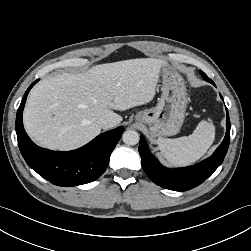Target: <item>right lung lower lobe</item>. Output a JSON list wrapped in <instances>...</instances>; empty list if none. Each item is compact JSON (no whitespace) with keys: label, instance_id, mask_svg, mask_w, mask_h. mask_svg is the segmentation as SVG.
I'll list each match as a JSON object with an SVG mask.
<instances>
[{"label":"right lung lower lobe","instance_id":"1","mask_svg":"<svg viewBox=\"0 0 251 251\" xmlns=\"http://www.w3.org/2000/svg\"><path fill=\"white\" fill-rule=\"evenodd\" d=\"M37 81L27 89L17 110L16 133L23 158L40 176L58 186L70 187L95 181L107 168L124 128L102 133L73 151L57 152L38 147L26 134L22 122L27 95Z\"/></svg>","mask_w":251,"mask_h":251}]
</instances>
